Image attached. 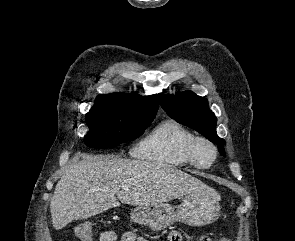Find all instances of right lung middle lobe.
<instances>
[{"mask_svg":"<svg viewBox=\"0 0 295 241\" xmlns=\"http://www.w3.org/2000/svg\"><path fill=\"white\" fill-rule=\"evenodd\" d=\"M155 114L125 105L107 97H97L85 119L89 132L84 142L92 148L115 147L138 138Z\"/></svg>","mask_w":295,"mask_h":241,"instance_id":"1","label":"right lung middle lobe"}]
</instances>
